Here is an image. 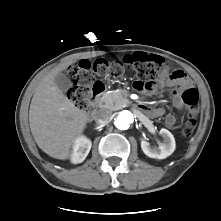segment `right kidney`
I'll list each match as a JSON object with an SVG mask.
<instances>
[{
	"mask_svg": "<svg viewBox=\"0 0 221 221\" xmlns=\"http://www.w3.org/2000/svg\"><path fill=\"white\" fill-rule=\"evenodd\" d=\"M91 146L92 143L88 138L84 136L78 137L74 143L73 153L71 155V162L74 164L83 162L87 157Z\"/></svg>",
	"mask_w": 221,
	"mask_h": 221,
	"instance_id": "right-kidney-1",
	"label": "right kidney"
}]
</instances>
